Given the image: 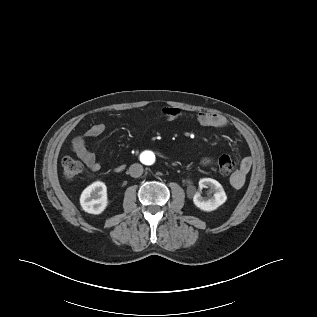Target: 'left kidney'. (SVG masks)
Returning a JSON list of instances; mask_svg holds the SVG:
<instances>
[{
  "mask_svg": "<svg viewBox=\"0 0 317 317\" xmlns=\"http://www.w3.org/2000/svg\"><path fill=\"white\" fill-rule=\"evenodd\" d=\"M206 187H209L211 192L214 193L211 198H204L200 194V191ZM226 200V193L218 181L211 178H202L199 180V191L194 195L193 203L200 210L207 212L216 210L219 206L225 203Z\"/></svg>",
  "mask_w": 317,
  "mask_h": 317,
  "instance_id": "1",
  "label": "left kidney"
}]
</instances>
